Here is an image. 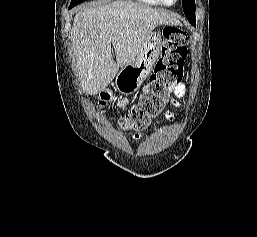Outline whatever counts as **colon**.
<instances>
[{"label":"colon","mask_w":257,"mask_h":237,"mask_svg":"<svg viewBox=\"0 0 257 237\" xmlns=\"http://www.w3.org/2000/svg\"><path fill=\"white\" fill-rule=\"evenodd\" d=\"M187 39V33L180 28H164L161 56L138 103L120 119L123 128L142 130L148 126L150 119L162 110L169 92L182 76L183 61L187 56ZM112 98L110 91L101 92L99 107L104 108Z\"/></svg>","instance_id":"colon-1"}]
</instances>
